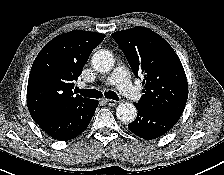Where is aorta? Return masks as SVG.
I'll use <instances>...</instances> for the list:
<instances>
[{"instance_id": "aorta-1", "label": "aorta", "mask_w": 224, "mask_h": 175, "mask_svg": "<svg viewBox=\"0 0 224 175\" xmlns=\"http://www.w3.org/2000/svg\"><path fill=\"white\" fill-rule=\"evenodd\" d=\"M92 66L99 72H108L113 68L114 59L110 51L101 49L93 54ZM116 115L125 123L133 122L137 116L136 107L132 103L122 102L117 106Z\"/></svg>"}]
</instances>
